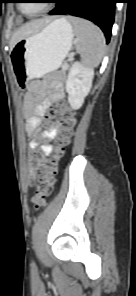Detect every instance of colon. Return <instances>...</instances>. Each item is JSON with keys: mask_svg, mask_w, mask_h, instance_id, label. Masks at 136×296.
Wrapping results in <instances>:
<instances>
[{"mask_svg": "<svg viewBox=\"0 0 136 296\" xmlns=\"http://www.w3.org/2000/svg\"><path fill=\"white\" fill-rule=\"evenodd\" d=\"M47 117L56 118L60 122L59 145L55 150V154L51 162L45 168H40L42 156L38 150H34L30 154V171L32 173H37V182L33 197L35 207L42 206L46 199L50 196L54 185L57 161L63 155L64 147L69 143L77 123L75 112L64 104L53 106Z\"/></svg>", "mask_w": 136, "mask_h": 296, "instance_id": "5ec220e1", "label": "colon"}]
</instances>
